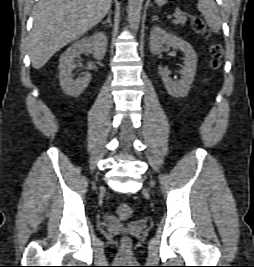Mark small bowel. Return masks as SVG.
Wrapping results in <instances>:
<instances>
[{"mask_svg": "<svg viewBox=\"0 0 254 267\" xmlns=\"http://www.w3.org/2000/svg\"><path fill=\"white\" fill-rule=\"evenodd\" d=\"M108 220H109V221H113L114 219H113V217L109 216V217H108Z\"/></svg>", "mask_w": 254, "mask_h": 267, "instance_id": "obj_1", "label": "small bowel"}]
</instances>
